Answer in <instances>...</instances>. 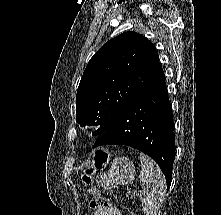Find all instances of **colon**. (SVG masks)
Returning <instances> with one entry per match:
<instances>
[{"label": "colon", "instance_id": "obj_1", "mask_svg": "<svg viewBox=\"0 0 221 215\" xmlns=\"http://www.w3.org/2000/svg\"><path fill=\"white\" fill-rule=\"evenodd\" d=\"M109 156L106 150L97 149L94 152L93 165L90 166L82 176L83 182L87 185L88 191L92 196V200L89 204L90 209L100 210L107 208L108 202L102 197L94 184V175L98 169L105 167L108 163Z\"/></svg>", "mask_w": 221, "mask_h": 215}]
</instances>
